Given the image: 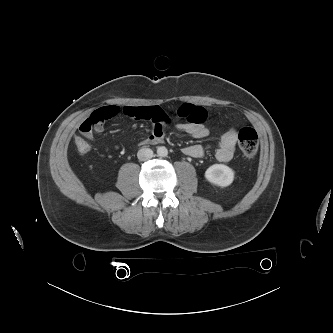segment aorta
<instances>
[{"label": "aorta", "instance_id": "obj_1", "mask_svg": "<svg viewBox=\"0 0 333 333\" xmlns=\"http://www.w3.org/2000/svg\"><path fill=\"white\" fill-rule=\"evenodd\" d=\"M157 154L160 157H166L168 155V150L165 146L158 147Z\"/></svg>", "mask_w": 333, "mask_h": 333}]
</instances>
